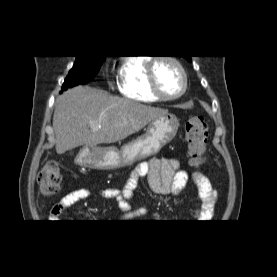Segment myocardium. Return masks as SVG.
I'll list each match as a JSON object with an SVG mask.
<instances>
[{
  "label": "myocardium",
  "mask_w": 277,
  "mask_h": 277,
  "mask_svg": "<svg viewBox=\"0 0 277 277\" xmlns=\"http://www.w3.org/2000/svg\"><path fill=\"white\" fill-rule=\"evenodd\" d=\"M160 60H164V61H168V62L172 63L173 65H175L177 67V69L179 70V72L181 74V77L183 80V86H182V89L179 91V93H177L176 95L167 96V95L163 94V92L160 90V88L158 86L156 73H155V67H156L157 62ZM147 75H148L149 88H150L151 92L156 97H158L160 100H163V101L176 100V99L180 98L181 96H183L188 89V77H187L186 70H185L183 64L174 56L163 55V56H158V57L153 58L148 63Z\"/></svg>",
  "instance_id": "1"
}]
</instances>
